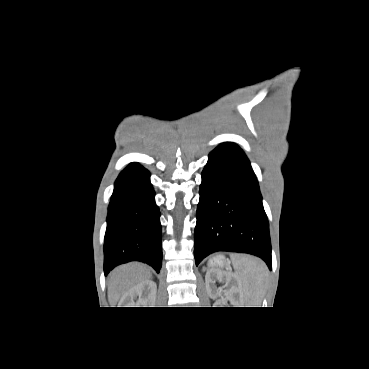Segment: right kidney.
I'll use <instances>...</instances> for the list:
<instances>
[{"instance_id":"obj_1","label":"right kidney","mask_w":369,"mask_h":369,"mask_svg":"<svg viewBox=\"0 0 369 369\" xmlns=\"http://www.w3.org/2000/svg\"><path fill=\"white\" fill-rule=\"evenodd\" d=\"M157 285L152 280H144L122 297L123 307H153L156 300Z\"/></svg>"}]
</instances>
